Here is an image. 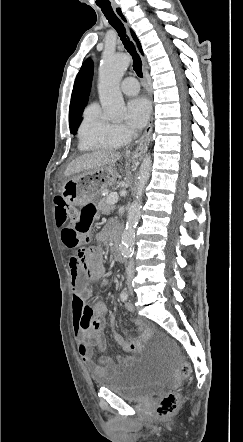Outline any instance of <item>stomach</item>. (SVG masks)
Returning a JSON list of instances; mask_svg holds the SVG:
<instances>
[{
	"label": "stomach",
	"mask_w": 243,
	"mask_h": 442,
	"mask_svg": "<svg viewBox=\"0 0 243 442\" xmlns=\"http://www.w3.org/2000/svg\"><path fill=\"white\" fill-rule=\"evenodd\" d=\"M118 172L113 165L102 166L69 178L62 186V196L73 205L94 200L103 190L113 186Z\"/></svg>",
	"instance_id": "stomach-1"
}]
</instances>
